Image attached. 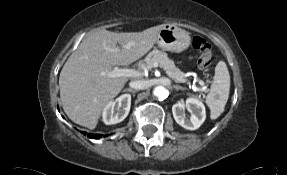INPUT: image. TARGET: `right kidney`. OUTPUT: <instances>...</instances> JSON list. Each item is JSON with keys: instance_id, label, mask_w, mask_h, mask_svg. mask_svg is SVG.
<instances>
[{"instance_id": "obj_1", "label": "right kidney", "mask_w": 287, "mask_h": 175, "mask_svg": "<svg viewBox=\"0 0 287 175\" xmlns=\"http://www.w3.org/2000/svg\"><path fill=\"white\" fill-rule=\"evenodd\" d=\"M131 95L123 94L114 101H110L103 110V122L112 125L123 121L129 114Z\"/></svg>"}]
</instances>
